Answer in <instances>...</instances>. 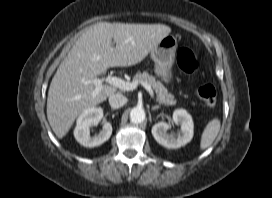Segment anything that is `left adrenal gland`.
<instances>
[{
    "instance_id": "1",
    "label": "left adrenal gland",
    "mask_w": 272,
    "mask_h": 198,
    "mask_svg": "<svg viewBox=\"0 0 272 198\" xmlns=\"http://www.w3.org/2000/svg\"><path fill=\"white\" fill-rule=\"evenodd\" d=\"M160 107L159 106H154V107H152V111H155V110H158Z\"/></svg>"
}]
</instances>
